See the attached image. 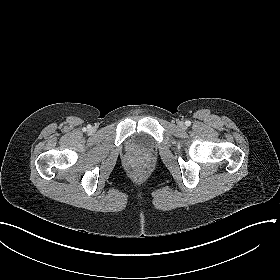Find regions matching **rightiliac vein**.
<instances>
[{
    "instance_id": "obj_1",
    "label": "right iliac vein",
    "mask_w": 280,
    "mask_h": 280,
    "mask_svg": "<svg viewBox=\"0 0 280 280\" xmlns=\"http://www.w3.org/2000/svg\"><path fill=\"white\" fill-rule=\"evenodd\" d=\"M90 131H91V132H94V128H91Z\"/></svg>"
}]
</instances>
